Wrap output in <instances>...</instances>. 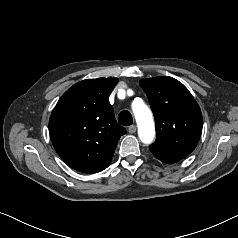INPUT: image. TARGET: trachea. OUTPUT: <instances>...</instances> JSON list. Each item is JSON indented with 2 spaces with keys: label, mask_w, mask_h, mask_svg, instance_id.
Segmentation results:
<instances>
[{
  "label": "trachea",
  "mask_w": 238,
  "mask_h": 238,
  "mask_svg": "<svg viewBox=\"0 0 238 238\" xmlns=\"http://www.w3.org/2000/svg\"><path fill=\"white\" fill-rule=\"evenodd\" d=\"M118 122L123 126H129L133 123L132 115L129 111L124 110L118 115Z\"/></svg>",
  "instance_id": "trachea-1"
}]
</instances>
